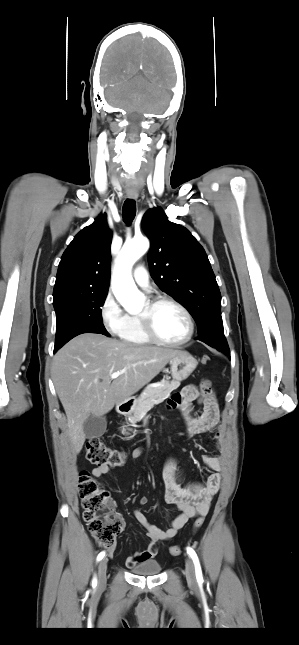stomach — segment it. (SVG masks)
Returning a JSON list of instances; mask_svg holds the SVG:
<instances>
[{
  "label": "stomach",
  "mask_w": 299,
  "mask_h": 645,
  "mask_svg": "<svg viewBox=\"0 0 299 645\" xmlns=\"http://www.w3.org/2000/svg\"><path fill=\"white\" fill-rule=\"evenodd\" d=\"M197 360L188 352H182L170 360L171 375L175 381L181 382L187 379L197 367ZM133 400L127 403L128 410L125 414L131 413L134 407ZM133 404V406H132Z\"/></svg>",
  "instance_id": "0dacf381"
}]
</instances>
